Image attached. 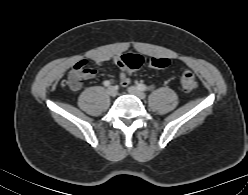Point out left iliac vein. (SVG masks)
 Masks as SVG:
<instances>
[{
    "label": "left iliac vein",
    "instance_id": "left-iliac-vein-1",
    "mask_svg": "<svg viewBox=\"0 0 248 195\" xmlns=\"http://www.w3.org/2000/svg\"><path fill=\"white\" fill-rule=\"evenodd\" d=\"M127 91L129 94H132V95L138 97L139 99H144L146 97V94L144 92H142L141 90H139L135 86L128 87Z\"/></svg>",
    "mask_w": 248,
    "mask_h": 195
}]
</instances>
